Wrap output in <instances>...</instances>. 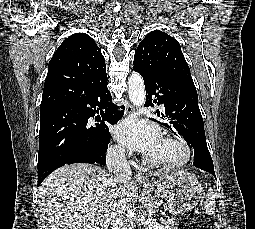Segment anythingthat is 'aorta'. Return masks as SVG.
I'll return each instance as SVG.
<instances>
[{"label":"aorta","instance_id":"1","mask_svg":"<svg viewBox=\"0 0 255 229\" xmlns=\"http://www.w3.org/2000/svg\"><path fill=\"white\" fill-rule=\"evenodd\" d=\"M128 94L133 105L140 107L145 104L146 93L144 81L142 76L137 72H133L128 79ZM148 229H152V227Z\"/></svg>","mask_w":255,"mask_h":229}]
</instances>
